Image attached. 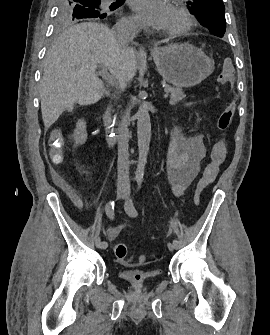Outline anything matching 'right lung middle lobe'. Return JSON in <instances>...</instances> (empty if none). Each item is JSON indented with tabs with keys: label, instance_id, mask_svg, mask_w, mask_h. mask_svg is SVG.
Instances as JSON below:
<instances>
[{
	"label": "right lung middle lobe",
	"instance_id": "dd1d6c3e",
	"mask_svg": "<svg viewBox=\"0 0 270 335\" xmlns=\"http://www.w3.org/2000/svg\"><path fill=\"white\" fill-rule=\"evenodd\" d=\"M125 0L101 5V0H59L57 24L65 26L97 18V21L110 17L109 11L120 7Z\"/></svg>",
	"mask_w": 270,
	"mask_h": 335
}]
</instances>
